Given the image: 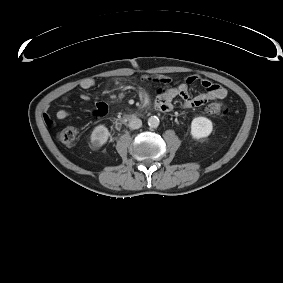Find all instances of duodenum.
Segmentation results:
<instances>
[{"label": "duodenum", "instance_id": "410a0bca", "mask_svg": "<svg viewBox=\"0 0 283 283\" xmlns=\"http://www.w3.org/2000/svg\"><path fill=\"white\" fill-rule=\"evenodd\" d=\"M134 118H136L135 115H129V116H128V119H130V120H131V119H134Z\"/></svg>", "mask_w": 283, "mask_h": 283}]
</instances>
